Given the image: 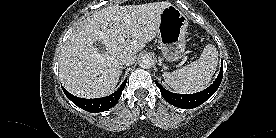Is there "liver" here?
Masks as SVG:
<instances>
[{"instance_id": "6515ba94", "label": "liver", "mask_w": 276, "mask_h": 138, "mask_svg": "<svg viewBox=\"0 0 276 138\" xmlns=\"http://www.w3.org/2000/svg\"><path fill=\"white\" fill-rule=\"evenodd\" d=\"M169 2L109 6L83 20L68 37L59 59L63 86L82 98L112 93L122 72L121 55L137 53L159 29L162 10ZM101 42L105 52L94 46Z\"/></svg>"}]
</instances>
